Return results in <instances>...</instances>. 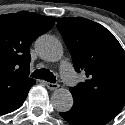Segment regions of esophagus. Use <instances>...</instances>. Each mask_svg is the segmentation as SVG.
<instances>
[{"label":"esophagus","mask_w":125,"mask_h":125,"mask_svg":"<svg viewBox=\"0 0 125 125\" xmlns=\"http://www.w3.org/2000/svg\"><path fill=\"white\" fill-rule=\"evenodd\" d=\"M44 84L49 90H56L59 87L57 83L44 82Z\"/></svg>","instance_id":"esophagus-1"}]
</instances>
